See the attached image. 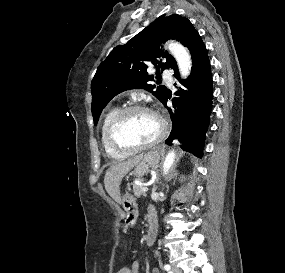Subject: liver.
Segmentation results:
<instances>
[{"instance_id": "obj_1", "label": "liver", "mask_w": 285, "mask_h": 273, "mask_svg": "<svg viewBox=\"0 0 285 273\" xmlns=\"http://www.w3.org/2000/svg\"><path fill=\"white\" fill-rule=\"evenodd\" d=\"M143 158V154L126 161L114 162L106 171L104 185L107 193L117 202L121 203L120 183L122 178Z\"/></svg>"}]
</instances>
